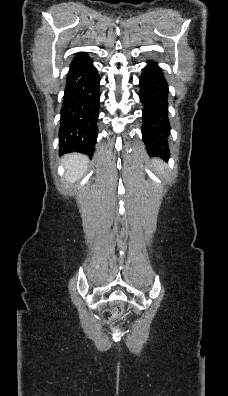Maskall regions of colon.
I'll return each mask as SVG.
<instances>
[{"mask_svg": "<svg viewBox=\"0 0 228 396\" xmlns=\"http://www.w3.org/2000/svg\"><path fill=\"white\" fill-rule=\"evenodd\" d=\"M113 310L115 313H119L122 310V304L121 303H115L113 305ZM111 314L110 313H104L103 318L106 322H109L111 319Z\"/></svg>", "mask_w": 228, "mask_h": 396, "instance_id": "1", "label": "colon"}]
</instances>
